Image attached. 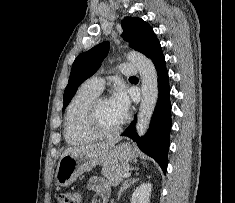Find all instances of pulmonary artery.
<instances>
[{
    "instance_id": "pulmonary-artery-1",
    "label": "pulmonary artery",
    "mask_w": 235,
    "mask_h": 203,
    "mask_svg": "<svg viewBox=\"0 0 235 203\" xmlns=\"http://www.w3.org/2000/svg\"><path fill=\"white\" fill-rule=\"evenodd\" d=\"M119 69L125 76H131L136 73V68L131 63H123L119 66ZM86 83L99 92L104 88V79L102 77L94 76L88 79Z\"/></svg>"
}]
</instances>
